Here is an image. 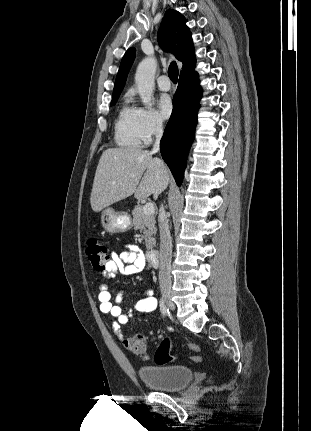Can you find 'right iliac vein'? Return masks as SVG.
Wrapping results in <instances>:
<instances>
[{
    "instance_id": "obj_1",
    "label": "right iliac vein",
    "mask_w": 311,
    "mask_h": 431,
    "mask_svg": "<svg viewBox=\"0 0 311 431\" xmlns=\"http://www.w3.org/2000/svg\"><path fill=\"white\" fill-rule=\"evenodd\" d=\"M163 298H164L165 302L168 304V306H169L172 310H174L175 306H174V304H173V303H172V301H171V295H170V293H169V292H164V293H163Z\"/></svg>"
}]
</instances>
